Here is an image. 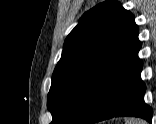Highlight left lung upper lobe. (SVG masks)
Segmentation results:
<instances>
[{"mask_svg":"<svg viewBox=\"0 0 156 124\" xmlns=\"http://www.w3.org/2000/svg\"><path fill=\"white\" fill-rule=\"evenodd\" d=\"M134 16L117 1L86 12L67 36L47 107L51 124H78L105 80L139 44Z\"/></svg>","mask_w":156,"mask_h":124,"instance_id":"obj_1","label":"left lung upper lobe"}]
</instances>
